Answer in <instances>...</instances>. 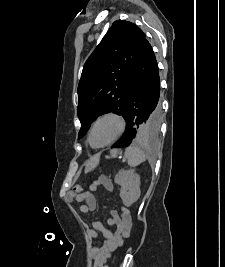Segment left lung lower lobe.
Instances as JSON below:
<instances>
[{"label":"left lung lower lobe","instance_id":"1","mask_svg":"<svg viewBox=\"0 0 225 267\" xmlns=\"http://www.w3.org/2000/svg\"><path fill=\"white\" fill-rule=\"evenodd\" d=\"M127 128L123 137L112 148L129 146L136 137L140 121L150 120L160 126V79L157 61L146 40L133 75L125 117Z\"/></svg>","mask_w":225,"mask_h":267}]
</instances>
